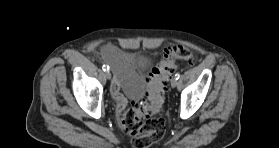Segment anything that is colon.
Wrapping results in <instances>:
<instances>
[{
    "label": "colon",
    "instance_id": "1",
    "mask_svg": "<svg viewBox=\"0 0 279 148\" xmlns=\"http://www.w3.org/2000/svg\"><path fill=\"white\" fill-rule=\"evenodd\" d=\"M192 50L180 45H170L164 51V58L148 78L147 92L143 101L133 103L120 112L121 129L131 136L134 148H148L159 141L165 133L162 118L156 117L172 72L178 61L194 62Z\"/></svg>",
    "mask_w": 279,
    "mask_h": 148
}]
</instances>
